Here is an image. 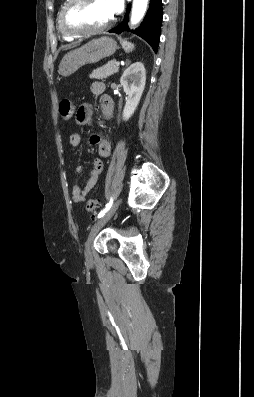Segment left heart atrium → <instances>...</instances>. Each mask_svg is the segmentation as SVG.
Listing matches in <instances>:
<instances>
[{"label":"left heart atrium","instance_id":"left-heart-atrium-1","mask_svg":"<svg viewBox=\"0 0 254 397\" xmlns=\"http://www.w3.org/2000/svg\"><path fill=\"white\" fill-rule=\"evenodd\" d=\"M106 8L111 16L119 13L123 7V0H104Z\"/></svg>","mask_w":254,"mask_h":397}]
</instances>
